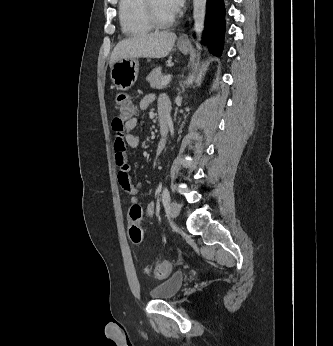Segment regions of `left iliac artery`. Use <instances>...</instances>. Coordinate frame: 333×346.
<instances>
[{"mask_svg":"<svg viewBox=\"0 0 333 346\" xmlns=\"http://www.w3.org/2000/svg\"><path fill=\"white\" fill-rule=\"evenodd\" d=\"M169 201H170L169 190L167 187H164L163 192H162V203H163L164 207H167L169 205Z\"/></svg>","mask_w":333,"mask_h":346,"instance_id":"1","label":"left iliac artery"}]
</instances>
